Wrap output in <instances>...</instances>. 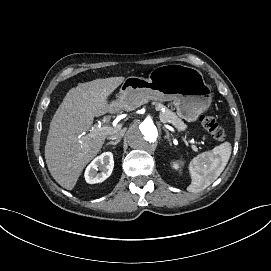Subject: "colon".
<instances>
[{"label":"colon","instance_id":"5ec220e1","mask_svg":"<svg viewBox=\"0 0 271 271\" xmlns=\"http://www.w3.org/2000/svg\"><path fill=\"white\" fill-rule=\"evenodd\" d=\"M200 123L213 139L217 141L225 140V130L213 117L204 114L200 117Z\"/></svg>","mask_w":271,"mask_h":271}]
</instances>
